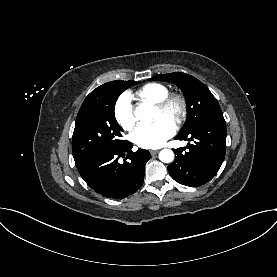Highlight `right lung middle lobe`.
<instances>
[{
  "label": "right lung middle lobe",
  "instance_id": "obj_1",
  "mask_svg": "<svg viewBox=\"0 0 277 277\" xmlns=\"http://www.w3.org/2000/svg\"><path fill=\"white\" fill-rule=\"evenodd\" d=\"M135 81L115 80L97 87L89 94L76 118L72 140L74 160L103 148L120 147L123 129L117 123L114 108L119 95Z\"/></svg>",
  "mask_w": 277,
  "mask_h": 277
}]
</instances>
